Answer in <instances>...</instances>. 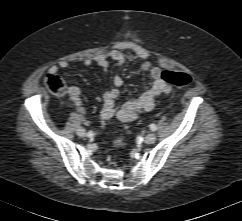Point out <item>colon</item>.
I'll use <instances>...</instances> for the list:
<instances>
[{
    "instance_id": "5ec220e1",
    "label": "colon",
    "mask_w": 242,
    "mask_h": 221,
    "mask_svg": "<svg viewBox=\"0 0 242 221\" xmlns=\"http://www.w3.org/2000/svg\"><path fill=\"white\" fill-rule=\"evenodd\" d=\"M161 79L166 83L179 88L188 87L192 82V77L184 72L177 71H163ZM44 84L46 88L56 96H63L66 92L65 80L56 72H49L44 76ZM126 145V140L117 138L114 141V148L120 150Z\"/></svg>"
}]
</instances>
